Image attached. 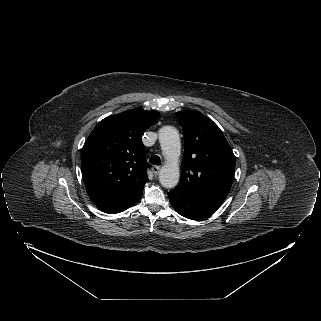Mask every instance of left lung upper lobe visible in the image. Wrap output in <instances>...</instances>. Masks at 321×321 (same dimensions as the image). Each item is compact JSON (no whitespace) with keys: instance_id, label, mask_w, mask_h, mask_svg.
Masks as SVG:
<instances>
[{"instance_id":"1","label":"left lung upper lobe","mask_w":321,"mask_h":321,"mask_svg":"<svg viewBox=\"0 0 321 321\" xmlns=\"http://www.w3.org/2000/svg\"><path fill=\"white\" fill-rule=\"evenodd\" d=\"M184 131L181 179L175 190L223 201L231 188L235 156L219 127L200 112H177Z\"/></svg>"}]
</instances>
